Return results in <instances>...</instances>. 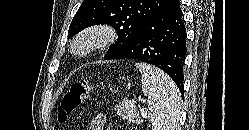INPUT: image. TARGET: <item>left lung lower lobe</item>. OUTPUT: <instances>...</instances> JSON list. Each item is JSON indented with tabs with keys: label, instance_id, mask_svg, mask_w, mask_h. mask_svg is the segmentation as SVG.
I'll list each match as a JSON object with an SVG mask.
<instances>
[{
	"label": "left lung lower lobe",
	"instance_id": "1",
	"mask_svg": "<svg viewBox=\"0 0 249 130\" xmlns=\"http://www.w3.org/2000/svg\"><path fill=\"white\" fill-rule=\"evenodd\" d=\"M186 29L178 0L146 22L133 39L111 59H136L165 71L183 94ZM110 59V60H111Z\"/></svg>",
	"mask_w": 249,
	"mask_h": 130
}]
</instances>
